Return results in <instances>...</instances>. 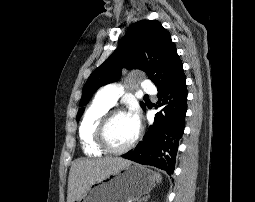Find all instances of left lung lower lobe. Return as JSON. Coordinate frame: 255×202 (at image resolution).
Listing matches in <instances>:
<instances>
[{
	"mask_svg": "<svg viewBox=\"0 0 255 202\" xmlns=\"http://www.w3.org/2000/svg\"><path fill=\"white\" fill-rule=\"evenodd\" d=\"M157 97L155 107L162 109L155 115L143 141L123 158L155 166L171 175L175 169L178 141L185 128L187 88L184 72L166 88L158 90Z\"/></svg>",
	"mask_w": 255,
	"mask_h": 202,
	"instance_id": "left-lung-lower-lobe-1",
	"label": "left lung lower lobe"
}]
</instances>
